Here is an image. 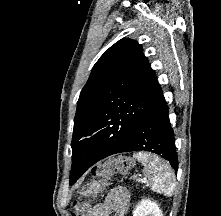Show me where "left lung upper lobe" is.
I'll return each instance as SVG.
<instances>
[{
  "instance_id": "left-lung-upper-lobe-1",
  "label": "left lung upper lobe",
  "mask_w": 221,
  "mask_h": 216,
  "mask_svg": "<svg viewBox=\"0 0 221 216\" xmlns=\"http://www.w3.org/2000/svg\"><path fill=\"white\" fill-rule=\"evenodd\" d=\"M156 87V74L135 41L121 39L99 58L77 104L70 183L87 148L106 144L116 150L130 140L154 101Z\"/></svg>"
}]
</instances>
